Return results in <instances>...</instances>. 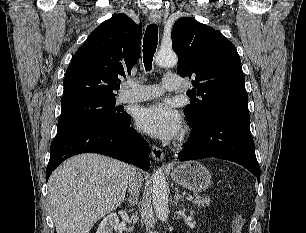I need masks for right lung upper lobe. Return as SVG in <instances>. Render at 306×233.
Masks as SVG:
<instances>
[{"label": "right lung upper lobe", "instance_id": "right-lung-upper-lobe-1", "mask_svg": "<svg viewBox=\"0 0 306 233\" xmlns=\"http://www.w3.org/2000/svg\"><path fill=\"white\" fill-rule=\"evenodd\" d=\"M141 25L125 14L101 23L76 51L63 81L62 103L83 98L115 99L119 77L140 56Z\"/></svg>", "mask_w": 306, "mask_h": 233}]
</instances>
